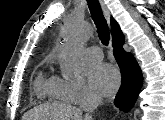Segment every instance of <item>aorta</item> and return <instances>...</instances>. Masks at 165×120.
Returning <instances> with one entry per match:
<instances>
[{
	"mask_svg": "<svg viewBox=\"0 0 165 120\" xmlns=\"http://www.w3.org/2000/svg\"><path fill=\"white\" fill-rule=\"evenodd\" d=\"M88 38L89 30L82 20L70 17L66 21L60 52V64L66 75L73 77L83 71L82 49Z\"/></svg>",
	"mask_w": 165,
	"mask_h": 120,
	"instance_id": "1",
	"label": "aorta"
}]
</instances>
